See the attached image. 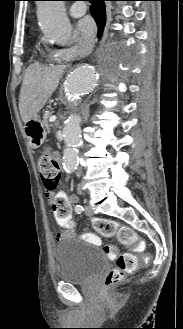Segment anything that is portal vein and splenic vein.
I'll return each mask as SVG.
<instances>
[{"label":"portal vein and splenic vein","instance_id":"1","mask_svg":"<svg viewBox=\"0 0 183 329\" xmlns=\"http://www.w3.org/2000/svg\"><path fill=\"white\" fill-rule=\"evenodd\" d=\"M56 120V116L55 115H53V116H51L50 118H49V121L50 122H54Z\"/></svg>","mask_w":183,"mask_h":329}]
</instances>
